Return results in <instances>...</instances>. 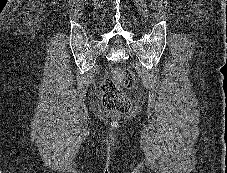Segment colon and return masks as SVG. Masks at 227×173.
I'll use <instances>...</instances> for the list:
<instances>
[{
	"label": "colon",
	"instance_id": "obj_1",
	"mask_svg": "<svg viewBox=\"0 0 227 173\" xmlns=\"http://www.w3.org/2000/svg\"><path fill=\"white\" fill-rule=\"evenodd\" d=\"M134 85V75L130 70L113 69L111 77L105 78L101 84L104 106L120 112L127 111L130 107V102L124 93V89H131Z\"/></svg>",
	"mask_w": 227,
	"mask_h": 173
}]
</instances>
